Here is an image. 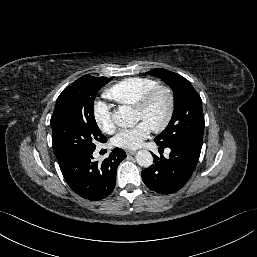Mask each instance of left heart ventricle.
<instances>
[{
  "mask_svg": "<svg viewBox=\"0 0 257 257\" xmlns=\"http://www.w3.org/2000/svg\"><path fill=\"white\" fill-rule=\"evenodd\" d=\"M167 111V101L164 95H159L144 112L135 111L138 121L146 122L150 127L162 122Z\"/></svg>",
  "mask_w": 257,
  "mask_h": 257,
  "instance_id": "b2bd125f",
  "label": "left heart ventricle"
}]
</instances>
